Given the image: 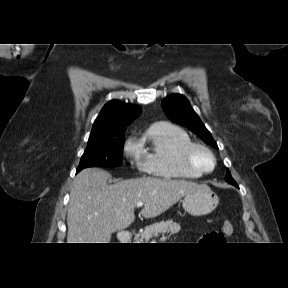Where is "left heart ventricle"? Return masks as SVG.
<instances>
[{
	"instance_id": "1",
	"label": "left heart ventricle",
	"mask_w": 288,
	"mask_h": 288,
	"mask_svg": "<svg viewBox=\"0 0 288 288\" xmlns=\"http://www.w3.org/2000/svg\"><path fill=\"white\" fill-rule=\"evenodd\" d=\"M196 162L204 169H210L212 167L211 157L204 151H197L195 154Z\"/></svg>"
}]
</instances>
